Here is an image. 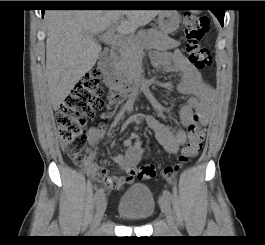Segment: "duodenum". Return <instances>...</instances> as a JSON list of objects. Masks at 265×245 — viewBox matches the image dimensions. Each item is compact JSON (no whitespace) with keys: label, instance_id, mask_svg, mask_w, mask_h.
<instances>
[{"label":"duodenum","instance_id":"duodenum-1","mask_svg":"<svg viewBox=\"0 0 265 245\" xmlns=\"http://www.w3.org/2000/svg\"><path fill=\"white\" fill-rule=\"evenodd\" d=\"M104 84L113 92L128 95L135 89L133 80L119 78L115 72V54L110 52L100 63Z\"/></svg>","mask_w":265,"mask_h":245}]
</instances>
